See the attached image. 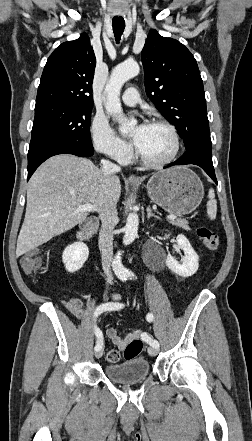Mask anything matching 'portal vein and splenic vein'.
Segmentation results:
<instances>
[{
  "instance_id": "1",
  "label": "portal vein and splenic vein",
  "mask_w": 252,
  "mask_h": 441,
  "mask_svg": "<svg viewBox=\"0 0 252 441\" xmlns=\"http://www.w3.org/2000/svg\"><path fill=\"white\" fill-rule=\"evenodd\" d=\"M80 212L83 211H98L99 209L91 204H84L78 207L77 209ZM168 220L174 221L176 219V216L171 215L167 217Z\"/></svg>"
}]
</instances>
